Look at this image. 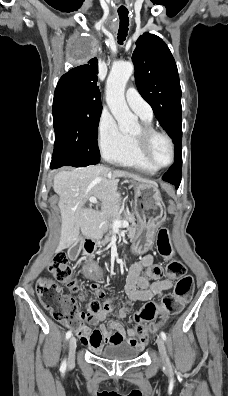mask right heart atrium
<instances>
[{
	"mask_svg": "<svg viewBox=\"0 0 228 396\" xmlns=\"http://www.w3.org/2000/svg\"><path fill=\"white\" fill-rule=\"evenodd\" d=\"M97 141L102 154L110 161L118 159L128 147V136L120 131L115 119L106 110L98 119Z\"/></svg>",
	"mask_w": 228,
	"mask_h": 396,
	"instance_id": "right-heart-atrium-1",
	"label": "right heart atrium"
}]
</instances>
